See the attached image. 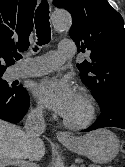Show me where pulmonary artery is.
<instances>
[{
	"label": "pulmonary artery",
	"mask_w": 125,
	"mask_h": 167,
	"mask_svg": "<svg viewBox=\"0 0 125 167\" xmlns=\"http://www.w3.org/2000/svg\"><path fill=\"white\" fill-rule=\"evenodd\" d=\"M74 43L70 40H62L59 43L58 51H50L41 56L29 59L31 66L22 67L14 72V78L32 77L47 74L61 64L65 60L71 59L74 55Z\"/></svg>",
	"instance_id": "e3ab8cb5"
}]
</instances>
